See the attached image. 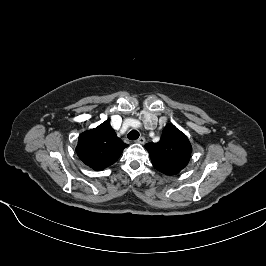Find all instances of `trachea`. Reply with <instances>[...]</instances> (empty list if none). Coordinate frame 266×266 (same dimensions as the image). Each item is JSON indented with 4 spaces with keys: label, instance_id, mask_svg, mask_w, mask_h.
<instances>
[{
    "label": "trachea",
    "instance_id": "trachea-1",
    "mask_svg": "<svg viewBox=\"0 0 266 266\" xmlns=\"http://www.w3.org/2000/svg\"><path fill=\"white\" fill-rule=\"evenodd\" d=\"M129 140H136L139 137V132L137 130H132L129 132V134L127 135Z\"/></svg>",
    "mask_w": 266,
    "mask_h": 266
}]
</instances>
